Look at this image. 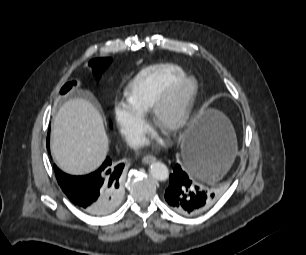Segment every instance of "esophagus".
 <instances>
[{
	"label": "esophagus",
	"mask_w": 306,
	"mask_h": 255,
	"mask_svg": "<svg viewBox=\"0 0 306 255\" xmlns=\"http://www.w3.org/2000/svg\"><path fill=\"white\" fill-rule=\"evenodd\" d=\"M156 161V158L152 155H146L142 158V162L144 164H150L152 162H155Z\"/></svg>",
	"instance_id": "34e87169"
}]
</instances>
